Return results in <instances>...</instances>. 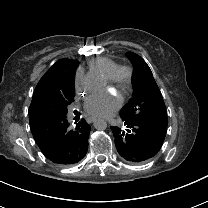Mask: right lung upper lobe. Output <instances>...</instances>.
Instances as JSON below:
<instances>
[{"instance_id":"1","label":"right lung upper lobe","mask_w":208,"mask_h":208,"mask_svg":"<svg viewBox=\"0 0 208 208\" xmlns=\"http://www.w3.org/2000/svg\"><path fill=\"white\" fill-rule=\"evenodd\" d=\"M78 61L71 59H60L58 60L40 79L35 91L33 93V98L29 111L34 110L38 106L39 98L51 91L54 85L58 84L62 79L75 73V68Z\"/></svg>"}]
</instances>
